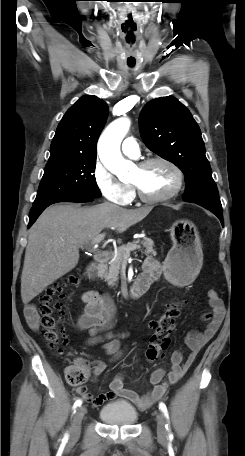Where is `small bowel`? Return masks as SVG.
Listing matches in <instances>:
<instances>
[{
    "mask_svg": "<svg viewBox=\"0 0 245 456\" xmlns=\"http://www.w3.org/2000/svg\"><path fill=\"white\" fill-rule=\"evenodd\" d=\"M158 263L154 259H147L146 264ZM211 311L203 315L206 321L205 329L191 331L185 338L186 345L190 353L186 360L180 351H175L171 356V369L166 371L162 368L154 370L150 376V381L154 385L153 389L146 395H139L137 392L124 387L125 373L117 375L110 383V390L95 397L84 386L77 388V393L88 403L95 407L101 406L106 401L116 397H121L132 402L139 409H147L159 400L167 390L169 384L177 383L190 368L202 347L215 335L225 315L224 302L219 294L214 290L207 292ZM82 301L85 303L83 313L77 319L76 325L80 329L88 330V344L103 343V348L114 360L122 356L120 351V339L126 334L114 335L110 332L100 335L101 332L110 329L115 320V306L108 295H99L94 291H86L82 294ZM25 317L32 329H38L39 318L33 305H28L25 309ZM86 364L82 359H78ZM94 377L99 376L105 369L102 361L96 360L90 363Z\"/></svg>",
    "mask_w": 245,
    "mask_h": 456,
    "instance_id": "obj_1",
    "label": "small bowel"
}]
</instances>
